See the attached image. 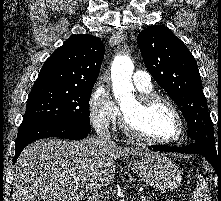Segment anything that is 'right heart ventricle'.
<instances>
[{"label": "right heart ventricle", "mask_w": 221, "mask_h": 201, "mask_svg": "<svg viewBox=\"0 0 221 201\" xmlns=\"http://www.w3.org/2000/svg\"><path fill=\"white\" fill-rule=\"evenodd\" d=\"M142 93H150L151 92V88L150 89H145V90H140Z\"/></svg>", "instance_id": "obj_1"}]
</instances>
